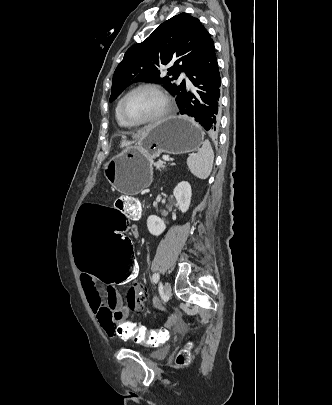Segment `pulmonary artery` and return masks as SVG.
Here are the masks:
<instances>
[{
  "label": "pulmonary artery",
  "mask_w": 332,
  "mask_h": 405,
  "mask_svg": "<svg viewBox=\"0 0 332 405\" xmlns=\"http://www.w3.org/2000/svg\"><path fill=\"white\" fill-rule=\"evenodd\" d=\"M180 78H181V79H184L188 85L191 84L190 80L188 79V77H187L184 73H182V74L180 75Z\"/></svg>",
  "instance_id": "pulmonary-artery-1"
}]
</instances>
